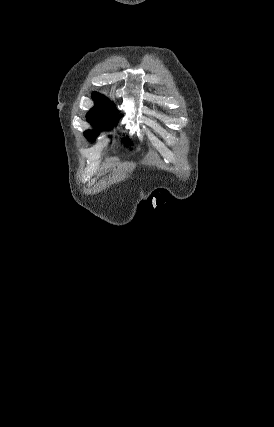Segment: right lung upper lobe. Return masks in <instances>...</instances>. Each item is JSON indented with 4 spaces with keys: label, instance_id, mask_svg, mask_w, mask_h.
Masks as SVG:
<instances>
[{
    "label": "right lung upper lobe",
    "instance_id": "obj_1",
    "mask_svg": "<svg viewBox=\"0 0 274 427\" xmlns=\"http://www.w3.org/2000/svg\"><path fill=\"white\" fill-rule=\"evenodd\" d=\"M92 98L96 102V106L88 112L87 117L103 116L117 112L114 105L103 95L94 92Z\"/></svg>",
    "mask_w": 274,
    "mask_h": 427
}]
</instances>
